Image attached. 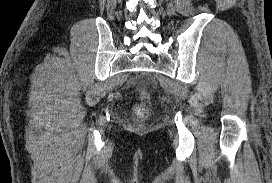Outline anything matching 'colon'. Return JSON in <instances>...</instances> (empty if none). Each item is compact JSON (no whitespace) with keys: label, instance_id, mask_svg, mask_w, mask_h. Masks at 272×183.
<instances>
[{"label":"colon","instance_id":"5ec220e1","mask_svg":"<svg viewBox=\"0 0 272 183\" xmlns=\"http://www.w3.org/2000/svg\"><path fill=\"white\" fill-rule=\"evenodd\" d=\"M143 95H144L145 97H147V94H146V93H143ZM140 111L142 112V111H144V109L141 108Z\"/></svg>","mask_w":272,"mask_h":183}]
</instances>
